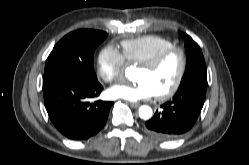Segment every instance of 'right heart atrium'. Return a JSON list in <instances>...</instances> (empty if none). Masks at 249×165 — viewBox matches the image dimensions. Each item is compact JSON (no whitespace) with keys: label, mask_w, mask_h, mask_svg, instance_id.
<instances>
[{"label":"right heart atrium","mask_w":249,"mask_h":165,"mask_svg":"<svg viewBox=\"0 0 249 165\" xmlns=\"http://www.w3.org/2000/svg\"><path fill=\"white\" fill-rule=\"evenodd\" d=\"M125 58L112 46L104 47L97 58V75L106 83L118 80L125 68Z\"/></svg>","instance_id":"1"}]
</instances>
